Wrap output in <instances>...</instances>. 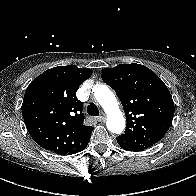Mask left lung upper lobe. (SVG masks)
<instances>
[{
  "instance_id": "1",
  "label": "left lung upper lobe",
  "mask_w": 196,
  "mask_h": 196,
  "mask_svg": "<svg viewBox=\"0 0 196 196\" xmlns=\"http://www.w3.org/2000/svg\"><path fill=\"white\" fill-rule=\"evenodd\" d=\"M101 77L115 90L126 114V129L117 142L143 151L161 140L174 115V102L164 82L136 63L104 68Z\"/></svg>"
}]
</instances>
